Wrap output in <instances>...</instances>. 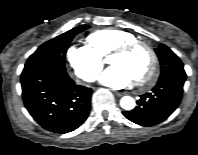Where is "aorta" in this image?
<instances>
[{
  "label": "aorta",
  "mask_w": 198,
  "mask_h": 155,
  "mask_svg": "<svg viewBox=\"0 0 198 155\" xmlns=\"http://www.w3.org/2000/svg\"><path fill=\"white\" fill-rule=\"evenodd\" d=\"M120 106L125 110H132L135 107V100L130 96H124L120 100Z\"/></svg>",
  "instance_id": "762f6f07"
}]
</instances>
